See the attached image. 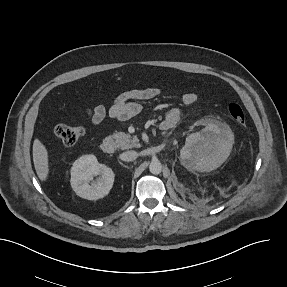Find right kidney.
Segmentation results:
<instances>
[{
    "label": "right kidney",
    "mask_w": 287,
    "mask_h": 287,
    "mask_svg": "<svg viewBox=\"0 0 287 287\" xmlns=\"http://www.w3.org/2000/svg\"><path fill=\"white\" fill-rule=\"evenodd\" d=\"M114 177L112 169L98 163L94 155H84L73 163L70 183L81 198L98 200L109 194Z\"/></svg>",
    "instance_id": "ca27d5eb"
}]
</instances>
